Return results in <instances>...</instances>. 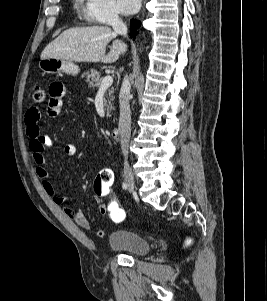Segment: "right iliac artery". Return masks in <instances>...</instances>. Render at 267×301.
Returning <instances> with one entry per match:
<instances>
[{
    "mask_svg": "<svg viewBox=\"0 0 267 301\" xmlns=\"http://www.w3.org/2000/svg\"><path fill=\"white\" fill-rule=\"evenodd\" d=\"M122 187H123V189H127V184L126 183H123V185H122Z\"/></svg>",
    "mask_w": 267,
    "mask_h": 301,
    "instance_id": "1",
    "label": "right iliac artery"
}]
</instances>
